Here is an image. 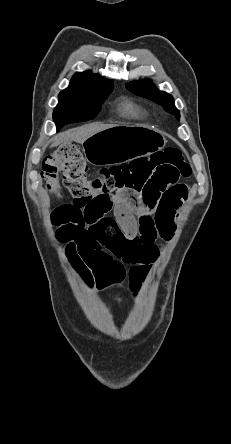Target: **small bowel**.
<instances>
[{"mask_svg": "<svg viewBox=\"0 0 231 444\" xmlns=\"http://www.w3.org/2000/svg\"><path fill=\"white\" fill-rule=\"evenodd\" d=\"M187 195L185 185L153 184L141 193L74 200L60 206L67 220L57 236L78 257L74 267L88 286L102 289L127 278L136 290L158 256L156 240L173 236Z\"/></svg>", "mask_w": 231, "mask_h": 444, "instance_id": "c3829d8e", "label": "small bowel"}]
</instances>
